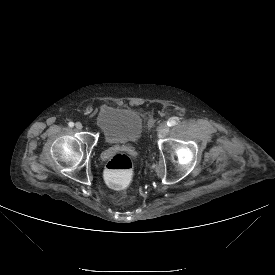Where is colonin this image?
Segmentation results:
<instances>
[{"mask_svg": "<svg viewBox=\"0 0 275 275\" xmlns=\"http://www.w3.org/2000/svg\"><path fill=\"white\" fill-rule=\"evenodd\" d=\"M133 161L124 153L112 155L105 165V178L113 186L125 187L131 180Z\"/></svg>", "mask_w": 275, "mask_h": 275, "instance_id": "5ec220e1", "label": "colon"}]
</instances>
